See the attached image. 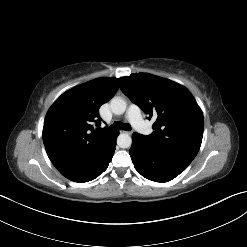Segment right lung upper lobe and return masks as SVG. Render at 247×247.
<instances>
[{
  "label": "right lung upper lobe",
  "instance_id": "cb5924a9",
  "mask_svg": "<svg viewBox=\"0 0 247 247\" xmlns=\"http://www.w3.org/2000/svg\"><path fill=\"white\" fill-rule=\"evenodd\" d=\"M117 78H99L63 93L44 120L43 142L59 172L81 167L106 146L115 132L94 130L99 108L117 92ZM101 129V128H98Z\"/></svg>",
  "mask_w": 247,
  "mask_h": 247
}]
</instances>
